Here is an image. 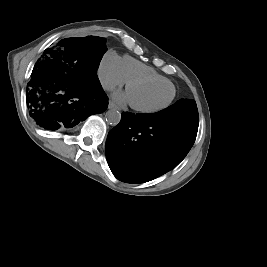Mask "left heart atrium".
<instances>
[{"label": "left heart atrium", "instance_id": "obj_1", "mask_svg": "<svg viewBox=\"0 0 267 267\" xmlns=\"http://www.w3.org/2000/svg\"><path fill=\"white\" fill-rule=\"evenodd\" d=\"M113 98L119 103H125L130 100L128 92L127 93H120V92L115 93L113 95Z\"/></svg>", "mask_w": 267, "mask_h": 267}]
</instances>
